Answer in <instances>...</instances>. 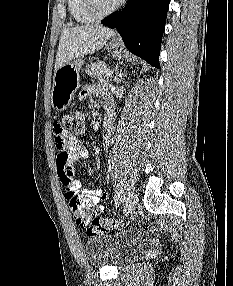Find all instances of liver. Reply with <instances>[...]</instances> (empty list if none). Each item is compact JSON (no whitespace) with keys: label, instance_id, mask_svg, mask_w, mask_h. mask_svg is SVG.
Here are the masks:
<instances>
[{"label":"liver","instance_id":"6515ba94","mask_svg":"<svg viewBox=\"0 0 233 286\" xmlns=\"http://www.w3.org/2000/svg\"><path fill=\"white\" fill-rule=\"evenodd\" d=\"M115 32L100 24L82 25L63 30L54 71L63 65L102 48Z\"/></svg>","mask_w":233,"mask_h":286}]
</instances>
